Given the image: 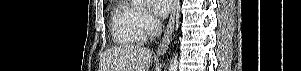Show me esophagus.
<instances>
[{
    "mask_svg": "<svg viewBox=\"0 0 301 71\" xmlns=\"http://www.w3.org/2000/svg\"><path fill=\"white\" fill-rule=\"evenodd\" d=\"M177 3H178V0L173 1L172 13H171L169 22L167 24V28L165 30L162 41H161V43H160V45L157 49V54L158 55H163L167 51L168 45L170 43L171 36H172V33H173V29H174L175 13H176Z\"/></svg>",
    "mask_w": 301,
    "mask_h": 71,
    "instance_id": "obj_1",
    "label": "esophagus"
}]
</instances>
